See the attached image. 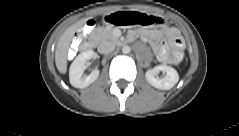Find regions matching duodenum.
I'll use <instances>...</instances> for the list:
<instances>
[{
  "instance_id": "1",
  "label": "duodenum",
  "mask_w": 239,
  "mask_h": 136,
  "mask_svg": "<svg viewBox=\"0 0 239 136\" xmlns=\"http://www.w3.org/2000/svg\"><path fill=\"white\" fill-rule=\"evenodd\" d=\"M83 34L78 35L77 37H75L74 39V45L76 47L81 46L83 50H89L92 48L93 46V42L91 40H86L83 43Z\"/></svg>"
}]
</instances>
